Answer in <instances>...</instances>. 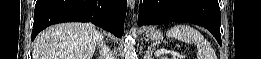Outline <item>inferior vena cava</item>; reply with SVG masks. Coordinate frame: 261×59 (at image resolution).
Instances as JSON below:
<instances>
[{
  "label": "inferior vena cava",
  "mask_w": 261,
  "mask_h": 59,
  "mask_svg": "<svg viewBox=\"0 0 261 59\" xmlns=\"http://www.w3.org/2000/svg\"><path fill=\"white\" fill-rule=\"evenodd\" d=\"M95 39L100 50V54H101L100 59H114L110 49L106 46V44L103 41V35L100 34L99 32H96Z\"/></svg>",
  "instance_id": "602c4592"
}]
</instances>
